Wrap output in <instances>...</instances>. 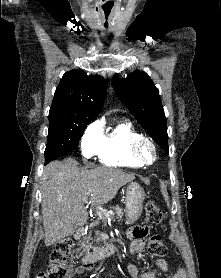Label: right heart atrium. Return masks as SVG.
Listing matches in <instances>:
<instances>
[{"label":"right heart atrium","instance_id":"d8ad5b80","mask_svg":"<svg viewBox=\"0 0 221 278\" xmlns=\"http://www.w3.org/2000/svg\"><path fill=\"white\" fill-rule=\"evenodd\" d=\"M102 136L101 122L94 121L86 127L80 142L81 153L84 158L90 159L96 155L101 144Z\"/></svg>","mask_w":221,"mask_h":278}]
</instances>
